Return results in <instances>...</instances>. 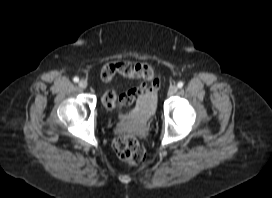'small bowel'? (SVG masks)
Segmentation results:
<instances>
[{
	"instance_id": "c3829d8e",
	"label": "small bowel",
	"mask_w": 272,
	"mask_h": 198,
	"mask_svg": "<svg viewBox=\"0 0 272 198\" xmlns=\"http://www.w3.org/2000/svg\"><path fill=\"white\" fill-rule=\"evenodd\" d=\"M113 70V74L106 80L115 76L139 81L133 88L117 96L114 89L108 90L104 95L103 102L107 108H113L116 101L123 106H131L147 98H155L160 87V80L155 77L153 69L146 63H132L126 60L114 61L107 66Z\"/></svg>"
}]
</instances>
